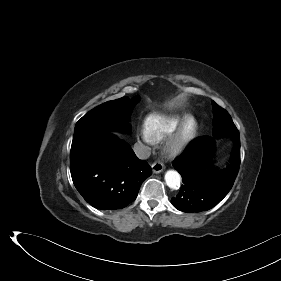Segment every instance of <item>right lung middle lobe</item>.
Returning a JSON list of instances; mask_svg holds the SVG:
<instances>
[{"label":"right lung middle lobe","instance_id":"right-lung-middle-lobe-1","mask_svg":"<svg viewBox=\"0 0 281 281\" xmlns=\"http://www.w3.org/2000/svg\"><path fill=\"white\" fill-rule=\"evenodd\" d=\"M138 97L130 103L128 97L108 101L85 114L77 123L73 140L90 134H104L111 131L130 130L127 117L130 116Z\"/></svg>","mask_w":281,"mask_h":281}]
</instances>
